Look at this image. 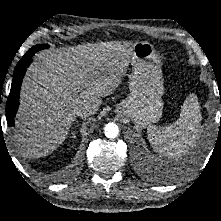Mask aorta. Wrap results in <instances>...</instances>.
<instances>
[{
    "mask_svg": "<svg viewBox=\"0 0 221 221\" xmlns=\"http://www.w3.org/2000/svg\"><path fill=\"white\" fill-rule=\"evenodd\" d=\"M104 134L107 138L114 139L119 135V128L115 123H108L104 128Z\"/></svg>",
    "mask_w": 221,
    "mask_h": 221,
    "instance_id": "obj_1",
    "label": "aorta"
}]
</instances>
